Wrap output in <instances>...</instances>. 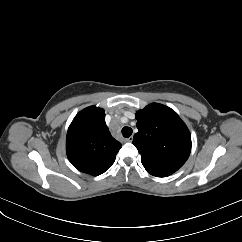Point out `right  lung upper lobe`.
I'll return each instance as SVG.
<instances>
[{
	"label": "right lung upper lobe",
	"instance_id": "obj_1",
	"mask_svg": "<svg viewBox=\"0 0 242 242\" xmlns=\"http://www.w3.org/2000/svg\"><path fill=\"white\" fill-rule=\"evenodd\" d=\"M66 147L75 168L97 176L111 167L122 145L111 136L104 110L90 106L80 111L70 124Z\"/></svg>",
	"mask_w": 242,
	"mask_h": 242
}]
</instances>
